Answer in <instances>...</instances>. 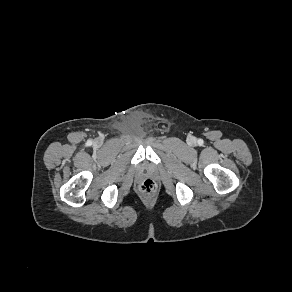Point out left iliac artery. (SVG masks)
<instances>
[{
	"instance_id": "44dca946",
	"label": "left iliac artery",
	"mask_w": 292,
	"mask_h": 292,
	"mask_svg": "<svg viewBox=\"0 0 292 292\" xmlns=\"http://www.w3.org/2000/svg\"><path fill=\"white\" fill-rule=\"evenodd\" d=\"M198 142H199V144H200V143H201V140H199Z\"/></svg>"
}]
</instances>
